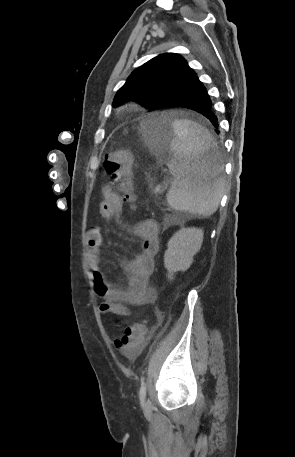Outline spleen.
<instances>
[{"label":"spleen","instance_id":"spleen-1","mask_svg":"<svg viewBox=\"0 0 295 457\" xmlns=\"http://www.w3.org/2000/svg\"><path fill=\"white\" fill-rule=\"evenodd\" d=\"M176 140L171 143L173 157L168 168L174 176L166 197L169 206L204 217L218 208L225 181L219 176L221 154L210 132L203 126L186 119L173 121ZM215 151L213 163L203 153Z\"/></svg>","mask_w":295,"mask_h":457}]
</instances>
